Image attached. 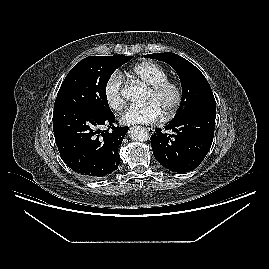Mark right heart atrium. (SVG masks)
I'll return each mask as SVG.
<instances>
[{
	"instance_id": "obj_1",
	"label": "right heart atrium",
	"mask_w": 269,
	"mask_h": 269,
	"mask_svg": "<svg viewBox=\"0 0 269 269\" xmlns=\"http://www.w3.org/2000/svg\"><path fill=\"white\" fill-rule=\"evenodd\" d=\"M124 83L122 74L119 71L112 72L105 81L103 93L108 107L113 111H121L124 107V99L121 89Z\"/></svg>"
}]
</instances>
